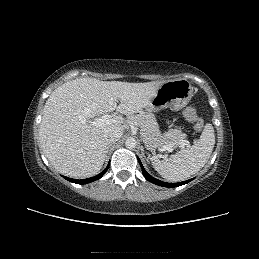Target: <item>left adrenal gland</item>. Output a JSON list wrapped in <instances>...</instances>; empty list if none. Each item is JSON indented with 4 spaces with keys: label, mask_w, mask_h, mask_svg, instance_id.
I'll list each match as a JSON object with an SVG mask.
<instances>
[{
    "label": "left adrenal gland",
    "mask_w": 259,
    "mask_h": 259,
    "mask_svg": "<svg viewBox=\"0 0 259 259\" xmlns=\"http://www.w3.org/2000/svg\"><path fill=\"white\" fill-rule=\"evenodd\" d=\"M143 155H144V153H143ZM145 157V156H144ZM146 161L149 163V160L148 159H146Z\"/></svg>",
    "instance_id": "obj_1"
}]
</instances>
